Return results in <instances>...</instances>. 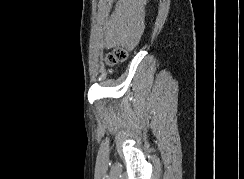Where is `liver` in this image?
<instances>
[{
  "label": "liver",
  "instance_id": "1",
  "mask_svg": "<svg viewBox=\"0 0 244 179\" xmlns=\"http://www.w3.org/2000/svg\"><path fill=\"white\" fill-rule=\"evenodd\" d=\"M148 0H119L111 20L106 26L107 48H126L128 52L137 46L145 28V8Z\"/></svg>",
  "mask_w": 244,
  "mask_h": 179
}]
</instances>
